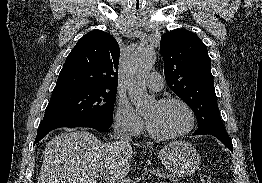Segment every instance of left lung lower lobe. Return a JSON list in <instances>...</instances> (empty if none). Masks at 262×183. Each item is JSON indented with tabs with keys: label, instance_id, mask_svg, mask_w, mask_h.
Here are the masks:
<instances>
[{
	"label": "left lung lower lobe",
	"instance_id": "1",
	"mask_svg": "<svg viewBox=\"0 0 262 183\" xmlns=\"http://www.w3.org/2000/svg\"><path fill=\"white\" fill-rule=\"evenodd\" d=\"M195 135V134H194ZM209 135H213L216 138H218L226 147H228L231 151H233V145L230 137L227 136V134H216L211 133Z\"/></svg>",
	"mask_w": 262,
	"mask_h": 183
}]
</instances>
